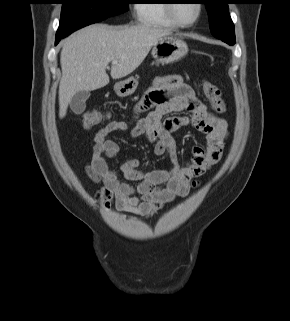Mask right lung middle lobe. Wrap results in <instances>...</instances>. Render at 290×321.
Segmentation results:
<instances>
[{"instance_id":"1","label":"right lung middle lobe","mask_w":290,"mask_h":321,"mask_svg":"<svg viewBox=\"0 0 290 321\" xmlns=\"http://www.w3.org/2000/svg\"><path fill=\"white\" fill-rule=\"evenodd\" d=\"M56 36L66 37L84 26L128 10V0H62Z\"/></svg>"}]
</instances>
